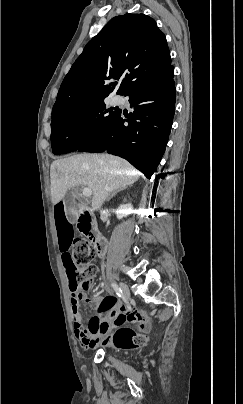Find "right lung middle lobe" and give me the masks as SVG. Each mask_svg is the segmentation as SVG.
<instances>
[{"label":"right lung middle lobe","mask_w":243,"mask_h":404,"mask_svg":"<svg viewBox=\"0 0 243 404\" xmlns=\"http://www.w3.org/2000/svg\"><path fill=\"white\" fill-rule=\"evenodd\" d=\"M102 97L52 117L51 142L55 155L78 150L114 119L118 108H106Z\"/></svg>","instance_id":"1"}]
</instances>
